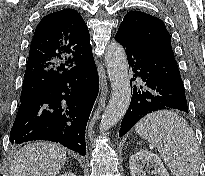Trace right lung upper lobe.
Masks as SVG:
<instances>
[{"label":"right lung upper lobe","instance_id":"1","mask_svg":"<svg viewBox=\"0 0 205 176\" xmlns=\"http://www.w3.org/2000/svg\"><path fill=\"white\" fill-rule=\"evenodd\" d=\"M92 56L88 28L77 11L64 9L46 15L30 45L20 100Z\"/></svg>","mask_w":205,"mask_h":176}]
</instances>
